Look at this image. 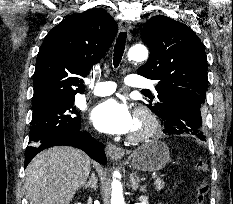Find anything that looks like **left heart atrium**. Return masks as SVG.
<instances>
[{
    "instance_id": "1",
    "label": "left heart atrium",
    "mask_w": 233,
    "mask_h": 204,
    "mask_svg": "<svg viewBox=\"0 0 233 204\" xmlns=\"http://www.w3.org/2000/svg\"><path fill=\"white\" fill-rule=\"evenodd\" d=\"M90 117L93 125L107 134H126L134 125V117L126 103L115 98L98 103Z\"/></svg>"
}]
</instances>
